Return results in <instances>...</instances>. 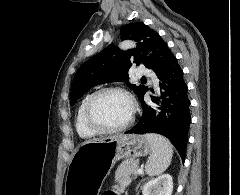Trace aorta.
<instances>
[{
    "label": "aorta",
    "instance_id": "obj_1",
    "mask_svg": "<svg viewBox=\"0 0 240 195\" xmlns=\"http://www.w3.org/2000/svg\"><path fill=\"white\" fill-rule=\"evenodd\" d=\"M120 48H122V50H129V48H135V44L131 42V40H126V42H121Z\"/></svg>",
    "mask_w": 240,
    "mask_h": 195
}]
</instances>
